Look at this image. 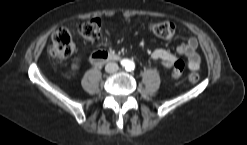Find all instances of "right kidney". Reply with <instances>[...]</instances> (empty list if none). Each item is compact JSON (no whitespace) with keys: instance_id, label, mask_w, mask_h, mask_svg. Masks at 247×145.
Segmentation results:
<instances>
[{"instance_id":"right-kidney-1","label":"right kidney","mask_w":247,"mask_h":145,"mask_svg":"<svg viewBox=\"0 0 247 145\" xmlns=\"http://www.w3.org/2000/svg\"><path fill=\"white\" fill-rule=\"evenodd\" d=\"M72 69H73V70L78 69V65H77V64H73V65H72Z\"/></svg>"}]
</instances>
